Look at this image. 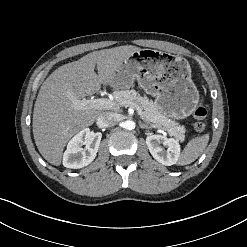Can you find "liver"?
Wrapping results in <instances>:
<instances>
[{
  "label": "liver",
  "mask_w": 247,
  "mask_h": 247,
  "mask_svg": "<svg viewBox=\"0 0 247 247\" xmlns=\"http://www.w3.org/2000/svg\"><path fill=\"white\" fill-rule=\"evenodd\" d=\"M139 50L125 45L94 51L57 68L43 82L34 105L32 127L36 146L45 160L61 165L70 138L103 113L100 109L76 108L72 98L81 100L98 92L102 84L111 85L118 68Z\"/></svg>",
  "instance_id": "obj_1"
}]
</instances>
